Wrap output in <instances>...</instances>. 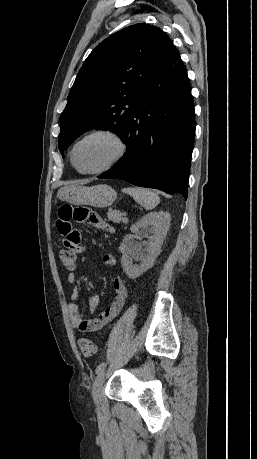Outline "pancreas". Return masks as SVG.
<instances>
[{
  "label": "pancreas",
  "instance_id": "pancreas-1",
  "mask_svg": "<svg viewBox=\"0 0 257 459\" xmlns=\"http://www.w3.org/2000/svg\"><path fill=\"white\" fill-rule=\"evenodd\" d=\"M107 217L110 221L114 222V223H120L121 221H123V215L120 211L118 210H112L110 209L107 213Z\"/></svg>",
  "mask_w": 257,
  "mask_h": 459
}]
</instances>
